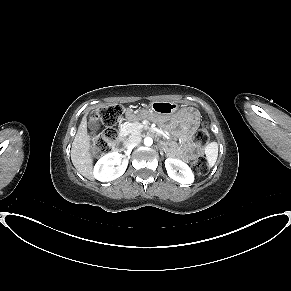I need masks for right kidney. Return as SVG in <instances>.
<instances>
[{"instance_id":"ca27d5eb","label":"right kidney","mask_w":291,"mask_h":291,"mask_svg":"<svg viewBox=\"0 0 291 291\" xmlns=\"http://www.w3.org/2000/svg\"><path fill=\"white\" fill-rule=\"evenodd\" d=\"M127 165L128 160L118 152L108 153L95 164L93 169L94 178L101 182L112 181L124 174Z\"/></svg>"}]
</instances>
